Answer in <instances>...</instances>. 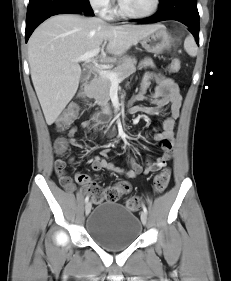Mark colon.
Here are the masks:
<instances>
[{"instance_id": "5ec220e1", "label": "colon", "mask_w": 231, "mask_h": 281, "mask_svg": "<svg viewBox=\"0 0 231 281\" xmlns=\"http://www.w3.org/2000/svg\"><path fill=\"white\" fill-rule=\"evenodd\" d=\"M181 68V63L178 59H173L168 65V71L170 73H177ZM78 106L72 104L68 106L62 115L57 120V126L60 129L66 127L77 115ZM67 149V142L63 138H59L55 142V151L57 154L65 153ZM171 172L169 168L162 169L154 178L153 190L155 193H162L168 186L170 180ZM130 186L127 182L122 181L116 185L108 187L106 190H102L101 187L96 183H91L88 185V191L91 193L92 200L95 203L101 202L106 199L109 201H117L126 192H128ZM141 206V201L139 197H132L126 201V207L132 211H137Z\"/></svg>"}]
</instances>
